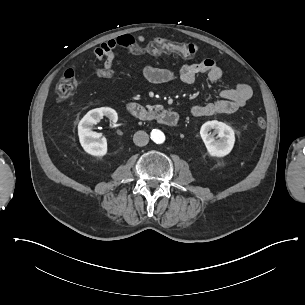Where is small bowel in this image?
<instances>
[{
    "label": "small bowel",
    "mask_w": 305,
    "mask_h": 305,
    "mask_svg": "<svg viewBox=\"0 0 305 305\" xmlns=\"http://www.w3.org/2000/svg\"><path fill=\"white\" fill-rule=\"evenodd\" d=\"M115 44V39L109 37L93 50L97 57L105 55V63L103 64L105 69L112 67V59L116 54V51L112 48ZM201 74H206L211 82H218L223 76V70L212 58H205L197 63L184 65L178 72L153 66H146L143 69L144 78L153 84H166L180 80L184 84L191 85ZM252 94L253 91L249 84L237 83L231 88L224 89L220 94L221 99L192 106L191 114L194 117H203L234 112L242 108L252 97Z\"/></svg>",
    "instance_id": "1"
}]
</instances>
